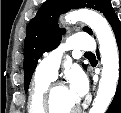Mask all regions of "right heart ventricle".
Wrapping results in <instances>:
<instances>
[{
	"instance_id": "obj_1",
	"label": "right heart ventricle",
	"mask_w": 121,
	"mask_h": 113,
	"mask_svg": "<svg viewBox=\"0 0 121 113\" xmlns=\"http://www.w3.org/2000/svg\"><path fill=\"white\" fill-rule=\"evenodd\" d=\"M51 80H52L51 78L45 75L36 73L29 99V109L46 110L45 91L49 86Z\"/></svg>"
}]
</instances>
